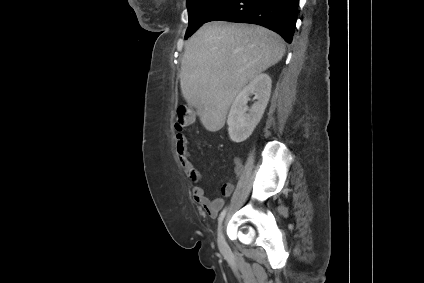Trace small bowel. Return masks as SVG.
I'll return each instance as SVG.
<instances>
[{
  "label": "small bowel",
  "mask_w": 424,
  "mask_h": 283,
  "mask_svg": "<svg viewBox=\"0 0 424 283\" xmlns=\"http://www.w3.org/2000/svg\"><path fill=\"white\" fill-rule=\"evenodd\" d=\"M175 141L178 159L182 164L186 175L194 183L192 187L194 201L211 217H216V215L224 205V200L222 198L210 199L207 197L205 190L198 185V183L202 179V176L197 167L188 157L185 136L182 134H177L175 136ZM242 171L243 165L241 159L239 157L234 158V175L236 177H239L242 174ZM232 190L233 183L227 182L222 185L221 193L224 197H227L231 194Z\"/></svg>",
  "instance_id": "obj_1"
}]
</instances>
